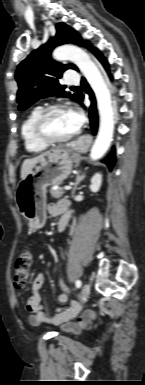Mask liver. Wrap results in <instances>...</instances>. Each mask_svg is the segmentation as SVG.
Instances as JSON below:
<instances>
[{
  "instance_id": "1",
  "label": "liver",
  "mask_w": 145,
  "mask_h": 385,
  "mask_svg": "<svg viewBox=\"0 0 145 385\" xmlns=\"http://www.w3.org/2000/svg\"><path fill=\"white\" fill-rule=\"evenodd\" d=\"M45 154V153H44ZM44 154H41L37 157L31 158V159H26L21 167V179H24L27 174L30 172L31 168L33 165L42 157Z\"/></svg>"
}]
</instances>
